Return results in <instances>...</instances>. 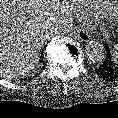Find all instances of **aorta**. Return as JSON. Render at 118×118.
<instances>
[{
	"label": "aorta",
	"mask_w": 118,
	"mask_h": 118,
	"mask_svg": "<svg viewBox=\"0 0 118 118\" xmlns=\"http://www.w3.org/2000/svg\"><path fill=\"white\" fill-rule=\"evenodd\" d=\"M86 53L92 62H102L106 57L104 46L98 42H90L86 45Z\"/></svg>",
	"instance_id": "1"
}]
</instances>
